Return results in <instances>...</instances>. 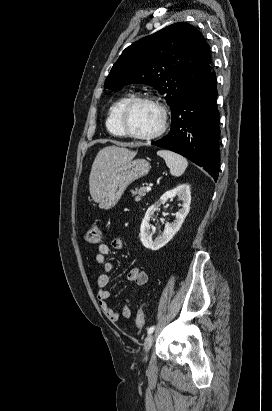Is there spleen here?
Instances as JSON below:
<instances>
[{
    "mask_svg": "<svg viewBox=\"0 0 272 411\" xmlns=\"http://www.w3.org/2000/svg\"><path fill=\"white\" fill-rule=\"evenodd\" d=\"M157 155L165 160L170 173L175 177L181 176L188 166L186 158L175 152L169 150H159L157 151Z\"/></svg>",
    "mask_w": 272,
    "mask_h": 411,
    "instance_id": "1",
    "label": "spleen"
}]
</instances>
